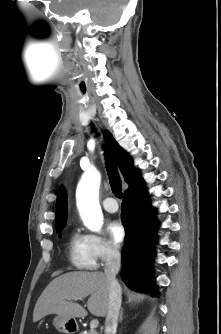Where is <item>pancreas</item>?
Instances as JSON below:
<instances>
[{
    "instance_id": "pancreas-1",
    "label": "pancreas",
    "mask_w": 221,
    "mask_h": 334,
    "mask_svg": "<svg viewBox=\"0 0 221 334\" xmlns=\"http://www.w3.org/2000/svg\"><path fill=\"white\" fill-rule=\"evenodd\" d=\"M79 334H98L95 330H89L88 332H80Z\"/></svg>"
}]
</instances>
